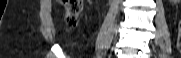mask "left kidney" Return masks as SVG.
<instances>
[{"label": "left kidney", "mask_w": 181, "mask_h": 58, "mask_svg": "<svg viewBox=\"0 0 181 58\" xmlns=\"http://www.w3.org/2000/svg\"><path fill=\"white\" fill-rule=\"evenodd\" d=\"M181 0H171V2H173L174 4L180 2Z\"/></svg>", "instance_id": "1"}]
</instances>
